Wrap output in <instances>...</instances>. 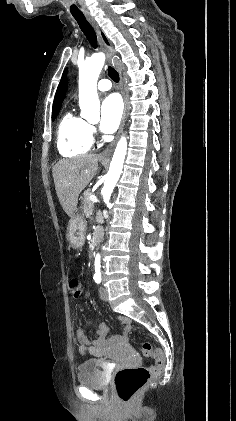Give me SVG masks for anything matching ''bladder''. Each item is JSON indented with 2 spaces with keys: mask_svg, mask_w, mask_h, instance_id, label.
Segmentation results:
<instances>
[{
  "mask_svg": "<svg viewBox=\"0 0 236 421\" xmlns=\"http://www.w3.org/2000/svg\"><path fill=\"white\" fill-rule=\"evenodd\" d=\"M77 383L88 386L91 390H103L107 386L106 375L101 370L99 360L89 358L81 362L76 371Z\"/></svg>",
  "mask_w": 236,
  "mask_h": 421,
  "instance_id": "obj_1",
  "label": "bladder"
}]
</instances>
